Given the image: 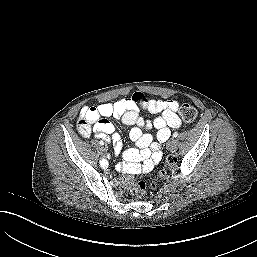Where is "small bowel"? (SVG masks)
Listing matches in <instances>:
<instances>
[{"label": "small bowel", "mask_w": 257, "mask_h": 257, "mask_svg": "<svg viewBox=\"0 0 257 257\" xmlns=\"http://www.w3.org/2000/svg\"><path fill=\"white\" fill-rule=\"evenodd\" d=\"M179 104L174 100L150 99L141 92H136L116 102H103L96 106L84 107L80 112L78 131L83 137L92 133L97 137L111 141L116 156H123L128 161L119 166L129 173L150 171L161 159L160 145L170 136V130L182 124L178 116ZM146 110L159 114L154 120H145L140 111ZM113 117L124 125L131 126L129 137L138 149L123 148L120 136L114 133L115 126L108 119ZM156 128V138L144 133V129Z\"/></svg>", "instance_id": "small-bowel-1"}]
</instances>
